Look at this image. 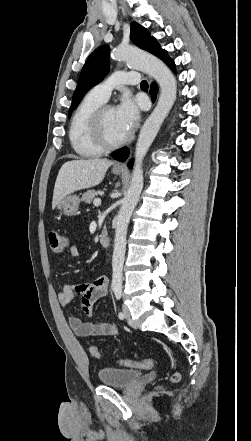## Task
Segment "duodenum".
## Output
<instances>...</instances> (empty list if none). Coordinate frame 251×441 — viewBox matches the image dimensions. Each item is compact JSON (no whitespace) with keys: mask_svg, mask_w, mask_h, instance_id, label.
I'll return each mask as SVG.
<instances>
[{"mask_svg":"<svg viewBox=\"0 0 251 441\" xmlns=\"http://www.w3.org/2000/svg\"><path fill=\"white\" fill-rule=\"evenodd\" d=\"M99 242L102 247L106 248L110 245V238L107 234L100 235Z\"/></svg>","mask_w":251,"mask_h":441,"instance_id":"1","label":"duodenum"}]
</instances>
